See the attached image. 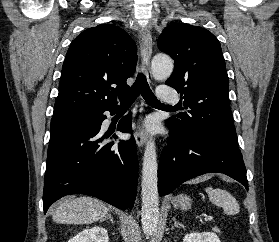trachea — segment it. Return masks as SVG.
<instances>
[{
    "mask_svg": "<svg viewBox=\"0 0 279 242\" xmlns=\"http://www.w3.org/2000/svg\"><path fill=\"white\" fill-rule=\"evenodd\" d=\"M139 94H141L145 101L150 105L174 108L172 106L160 103V101L151 91L144 73H139L134 84L125 93L119 95L121 105H131L139 96Z\"/></svg>",
    "mask_w": 279,
    "mask_h": 242,
    "instance_id": "obj_1",
    "label": "trachea"
}]
</instances>
